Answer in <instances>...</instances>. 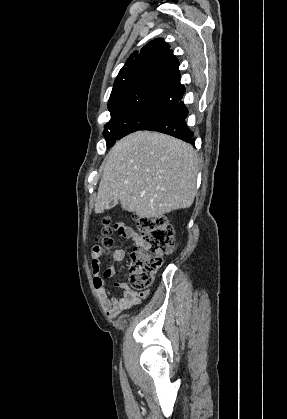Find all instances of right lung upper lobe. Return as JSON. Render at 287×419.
I'll return each mask as SVG.
<instances>
[{"label": "right lung upper lobe", "instance_id": "cb5924a9", "mask_svg": "<svg viewBox=\"0 0 287 419\" xmlns=\"http://www.w3.org/2000/svg\"><path fill=\"white\" fill-rule=\"evenodd\" d=\"M179 62L158 38L135 51L117 76L108 102L110 113L136 105H165L181 100Z\"/></svg>", "mask_w": 287, "mask_h": 419}]
</instances>
